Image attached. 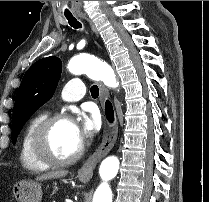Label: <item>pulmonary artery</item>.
Returning <instances> with one entry per match:
<instances>
[{"label": "pulmonary artery", "instance_id": "1", "mask_svg": "<svg viewBox=\"0 0 209 202\" xmlns=\"http://www.w3.org/2000/svg\"><path fill=\"white\" fill-rule=\"evenodd\" d=\"M84 80L81 78L70 80L63 86L64 96L67 100L76 101L83 97Z\"/></svg>", "mask_w": 209, "mask_h": 202}]
</instances>
